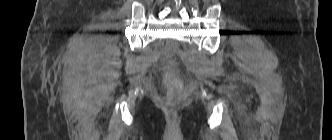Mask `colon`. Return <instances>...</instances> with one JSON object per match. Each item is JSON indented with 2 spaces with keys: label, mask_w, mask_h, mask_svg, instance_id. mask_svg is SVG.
Returning a JSON list of instances; mask_svg holds the SVG:
<instances>
[{
  "label": "colon",
  "mask_w": 332,
  "mask_h": 140,
  "mask_svg": "<svg viewBox=\"0 0 332 140\" xmlns=\"http://www.w3.org/2000/svg\"><path fill=\"white\" fill-rule=\"evenodd\" d=\"M166 85L168 88V95L164 99V105L169 109H174L180 102V83L175 79L173 73H169L165 77Z\"/></svg>",
  "instance_id": "5ec220e1"
}]
</instances>
